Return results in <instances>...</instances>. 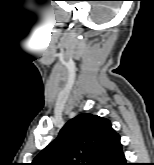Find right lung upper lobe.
Instances as JSON below:
<instances>
[{
	"label": "right lung upper lobe",
	"instance_id": "right-lung-upper-lobe-1",
	"mask_svg": "<svg viewBox=\"0 0 154 165\" xmlns=\"http://www.w3.org/2000/svg\"><path fill=\"white\" fill-rule=\"evenodd\" d=\"M115 135L109 120L80 114L64 125L32 165H95Z\"/></svg>",
	"mask_w": 154,
	"mask_h": 165
}]
</instances>
